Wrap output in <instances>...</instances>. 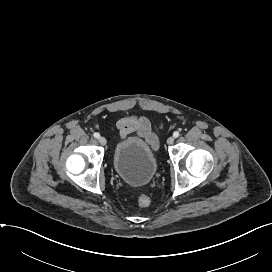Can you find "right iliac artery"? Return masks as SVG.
<instances>
[{
  "mask_svg": "<svg viewBox=\"0 0 272 272\" xmlns=\"http://www.w3.org/2000/svg\"><path fill=\"white\" fill-rule=\"evenodd\" d=\"M93 136H94L95 138H99V137H100V134L96 132V133L93 134Z\"/></svg>",
  "mask_w": 272,
  "mask_h": 272,
  "instance_id": "1",
  "label": "right iliac artery"
}]
</instances>
